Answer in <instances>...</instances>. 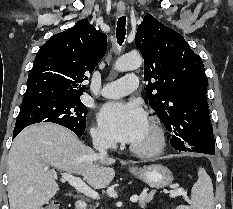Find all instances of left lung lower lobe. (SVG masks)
<instances>
[{
    "label": "left lung lower lobe",
    "instance_id": "1",
    "mask_svg": "<svg viewBox=\"0 0 233 209\" xmlns=\"http://www.w3.org/2000/svg\"><path fill=\"white\" fill-rule=\"evenodd\" d=\"M170 143H171L172 147L174 149L178 150L179 152H181V151H192L193 152V150H191L190 147H188L186 145L182 146L179 143V140L176 137H174V136H172V138L170 140Z\"/></svg>",
    "mask_w": 233,
    "mask_h": 209
}]
</instances>
